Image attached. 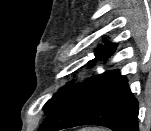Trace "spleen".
Segmentation results:
<instances>
[{
	"instance_id": "spleen-1",
	"label": "spleen",
	"mask_w": 151,
	"mask_h": 131,
	"mask_svg": "<svg viewBox=\"0 0 151 131\" xmlns=\"http://www.w3.org/2000/svg\"><path fill=\"white\" fill-rule=\"evenodd\" d=\"M82 131H103V130L97 128H88V129H82Z\"/></svg>"
}]
</instances>
